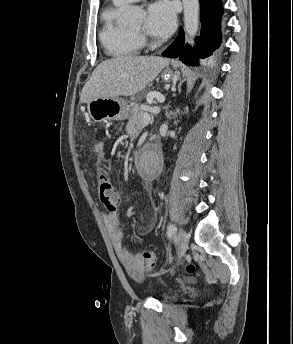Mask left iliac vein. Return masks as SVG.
<instances>
[{
	"instance_id": "left-iliac-vein-1",
	"label": "left iliac vein",
	"mask_w": 293,
	"mask_h": 344,
	"mask_svg": "<svg viewBox=\"0 0 293 344\" xmlns=\"http://www.w3.org/2000/svg\"><path fill=\"white\" fill-rule=\"evenodd\" d=\"M188 243H189V234L184 229H181L178 233V238H177V252H178L179 259H181L184 256L188 248Z\"/></svg>"
}]
</instances>
